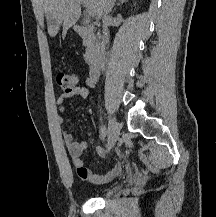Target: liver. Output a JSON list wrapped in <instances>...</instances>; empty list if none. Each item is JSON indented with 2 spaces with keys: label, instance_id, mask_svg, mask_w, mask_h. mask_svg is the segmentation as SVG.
Listing matches in <instances>:
<instances>
[{
  "label": "liver",
  "instance_id": "obj_1",
  "mask_svg": "<svg viewBox=\"0 0 216 217\" xmlns=\"http://www.w3.org/2000/svg\"><path fill=\"white\" fill-rule=\"evenodd\" d=\"M97 19L105 12L108 0H85ZM44 13L47 19V29L51 37H55L63 25V32L73 26L81 15L79 0H44Z\"/></svg>",
  "mask_w": 216,
  "mask_h": 217
}]
</instances>
